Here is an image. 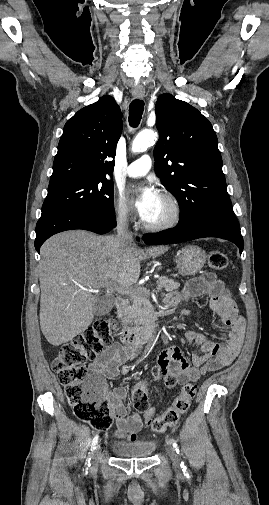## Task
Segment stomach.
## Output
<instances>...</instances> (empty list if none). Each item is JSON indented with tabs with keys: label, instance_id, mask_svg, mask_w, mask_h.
<instances>
[{
	"label": "stomach",
	"instance_id": "0dacf381",
	"mask_svg": "<svg viewBox=\"0 0 269 505\" xmlns=\"http://www.w3.org/2000/svg\"><path fill=\"white\" fill-rule=\"evenodd\" d=\"M206 258V253L202 248L189 245L177 254L175 262L182 275H194L203 268Z\"/></svg>",
	"mask_w": 269,
	"mask_h": 505
}]
</instances>
